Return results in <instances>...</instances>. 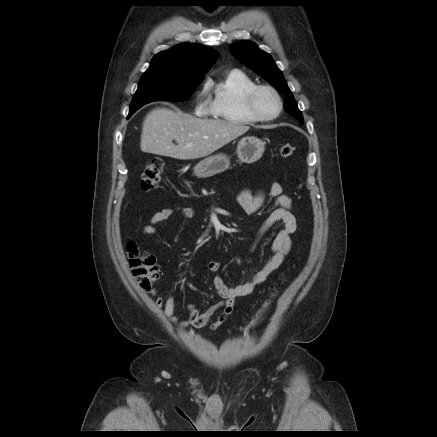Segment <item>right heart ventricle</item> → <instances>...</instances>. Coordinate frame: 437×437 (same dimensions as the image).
Segmentation results:
<instances>
[{
	"label": "right heart ventricle",
	"mask_w": 437,
	"mask_h": 437,
	"mask_svg": "<svg viewBox=\"0 0 437 437\" xmlns=\"http://www.w3.org/2000/svg\"><path fill=\"white\" fill-rule=\"evenodd\" d=\"M256 83L243 71L231 70L207 86L212 92L211 112L233 124H251L253 119L245 104L246 95Z\"/></svg>",
	"instance_id": "right-heart-ventricle-1"
}]
</instances>
